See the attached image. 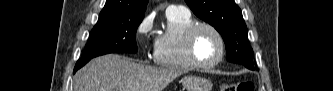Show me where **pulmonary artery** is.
Returning <instances> with one entry per match:
<instances>
[{"label": "pulmonary artery", "mask_w": 333, "mask_h": 91, "mask_svg": "<svg viewBox=\"0 0 333 91\" xmlns=\"http://www.w3.org/2000/svg\"><path fill=\"white\" fill-rule=\"evenodd\" d=\"M167 13H174V12H183V13H189V11L181 5H170L167 8Z\"/></svg>", "instance_id": "1"}]
</instances>
